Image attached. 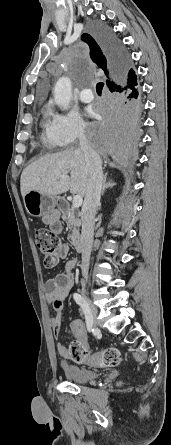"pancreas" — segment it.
<instances>
[{
	"label": "pancreas",
	"instance_id": "1",
	"mask_svg": "<svg viewBox=\"0 0 171 445\" xmlns=\"http://www.w3.org/2000/svg\"><path fill=\"white\" fill-rule=\"evenodd\" d=\"M62 219L66 222L67 227L70 229L71 234L68 235V240L75 243L79 239V231L81 222L79 215L74 207H68L63 212Z\"/></svg>",
	"mask_w": 171,
	"mask_h": 445
}]
</instances>
